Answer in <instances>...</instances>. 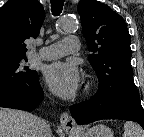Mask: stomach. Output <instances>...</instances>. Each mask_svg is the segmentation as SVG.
I'll use <instances>...</instances> for the list:
<instances>
[{"label": "stomach", "instance_id": "1", "mask_svg": "<svg viewBox=\"0 0 144 137\" xmlns=\"http://www.w3.org/2000/svg\"><path fill=\"white\" fill-rule=\"evenodd\" d=\"M82 137H113V132L106 125L98 124L88 129Z\"/></svg>", "mask_w": 144, "mask_h": 137}]
</instances>
